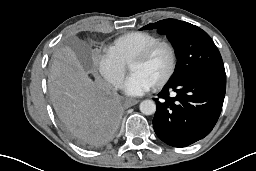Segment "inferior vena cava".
Listing matches in <instances>:
<instances>
[{
  "mask_svg": "<svg viewBox=\"0 0 256 171\" xmlns=\"http://www.w3.org/2000/svg\"><path fill=\"white\" fill-rule=\"evenodd\" d=\"M121 85H122V83L119 82V81H117V82L114 83V86H115L116 88H120Z\"/></svg>",
  "mask_w": 256,
  "mask_h": 171,
  "instance_id": "obj_1",
  "label": "inferior vena cava"
}]
</instances>
